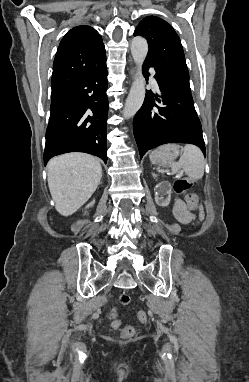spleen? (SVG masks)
<instances>
[{
	"label": "spleen",
	"instance_id": "obj_1",
	"mask_svg": "<svg viewBox=\"0 0 249 382\" xmlns=\"http://www.w3.org/2000/svg\"><path fill=\"white\" fill-rule=\"evenodd\" d=\"M178 162H171L173 172H185L193 179H201L204 175L205 159L202 151L195 145H185ZM159 153V149L152 152V156Z\"/></svg>",
	"mask_w": 249,
	"mask_h": 382
}]
</instances>
